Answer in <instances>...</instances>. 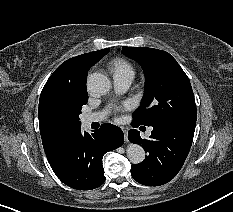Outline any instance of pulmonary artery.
<instances>
[{"mask_svg":"<svg viewBox=\"0 0 233 212\" xmlns=\"http://www.w3.org/2000/svg\"><path fill=\"white\" fill-rule=\"evenodd\" d=\"M114 80V87L115 90L118 93H123L125 92L129 86L132 83L133 76L130 75H117L113 77ZM105 117V113L103 112H97V113H91V114H85L82 117V121L85 125H90L93 122H99L103 120ZM151 130L148 131L150 133Z\"/></svg>","mask_w":233,"mask_h":212,"instance_id":"pulmonary-artery-1","label":"pulmonary artery"}]
</instances>
